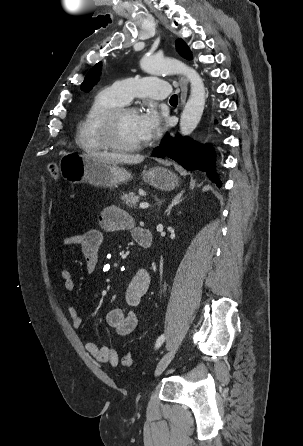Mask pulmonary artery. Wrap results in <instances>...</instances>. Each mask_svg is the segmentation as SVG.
<instances>
[{"mask_svg":"<svg viewBox=\"0 0 303 446\" xmlns=\"http://www.w3.org/2000/svg\"><path fill=\"white\" fill-rule=\"evenodd\" d=\"M126 103L134 97L165 99L170 92L169 84L156 77H131L115 82L112 86Z\"/></svg>","mask_w":303,"mask_h":446,"instance_id":"pulmonary-artery-1","label":"pulmonary artery"}]
</instances>
